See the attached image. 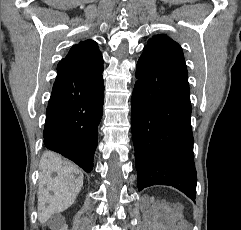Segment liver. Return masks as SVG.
I'll list each match as a JSON object with an SVG mask.
<instances>
[{"label":"liver","mask_w":241,"mask_h":230,"mask_svg":"<svg viewBox=\"0 0 241 230\" xmlns=\"http://www.w3.org/2000/svg\"><path fill=\"white\" fill-rule=\"evenodd\" d=\"M40 169L39 182L47 186L41 191L38 201L39 221L44 223L52 214L65 211L75 202L83 185V173L73 163L51 151L43 153ZM53 173H56L55 177Z\"/></svg>","instance_id":"1"}]
</instances>
